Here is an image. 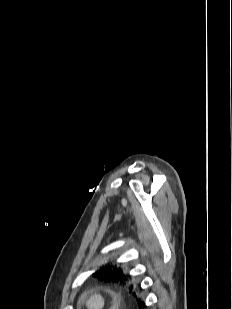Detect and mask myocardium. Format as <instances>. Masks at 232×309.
Wrapping results in <instances>:
<instances>
[{
  "instance_id": "obj_1",
  "label": "myocardium",
  "mask_w": 232,
  "mask_h": 309,
  "mask_svg": "<svg viewBox=\"0 0 232 309\" xmlns=\"http://www.w3.org/2000/svg\"><path fill=\"white\" fill-rule=\"evenodd\" d=\"M84 305L86 309H105L107 298L99 291H90L85 298Z\"/></svg>"
}]
</instances>
